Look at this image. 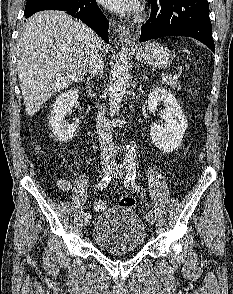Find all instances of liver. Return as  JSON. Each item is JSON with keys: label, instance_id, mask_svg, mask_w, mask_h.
Segmentation results:
<instances>
[{"label": "liver", "instance_id": "obj_1", "mask_svg": "<svg viewBox=\"0 0 233 294\" xmlns=\"http://www.w3.org/2000/svg\"><path fill=\"white\" fill-rule=\"evenodd\" d=\"M102 49V40L82 22L57 11L30 17L17 45V72L25 109L38 112L51 96L80 82L90 56ZM108 52L109 46L104 47Z\"/></svg>", "mask_w": 233, "mask_h": 294}]
</instances>
